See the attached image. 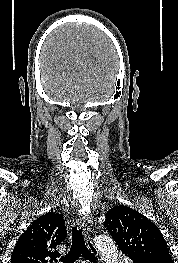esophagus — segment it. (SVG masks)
<instances>
[{"instance_id": "1", "label": "esophagus", "mask_w": 178, "mask_h": 263, "mask_svg": "<svg viewBox=\"0 0 178 263\" xmlns=\"http://www.w3.org/2000/svg\"><path fill=\"white\" fill-rule=\"evenodd\" d=\"M92 223V217L91 215L87 214H81V216L78 218V227L82 230L85 238L86 243L89 248V250L96 256L99 257V252L96 249V247L93 245L88 233H89V226Z\"/></svg>"}]
</instances>
